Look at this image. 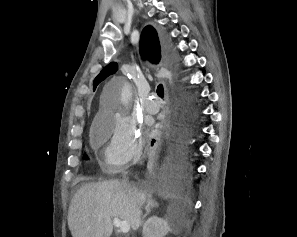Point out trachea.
Here are the masks:
<instances>
[{
    "label": "trachea",
    "mask_w": 297,
    "mask_h": 237,
    "mask_svg": "<svg viewBox=\"0 0 297 237\" xmlns=\"http://www.w3.org/2000/svg\"><path fill=\"white\" fill-rule=\"evenodd\" d=\"M157 94L159 97L163 98L164 97V89H163V85L159 84L156 90Z\"/></svg>",
    "instance_id": "1"
}]
</instances>
